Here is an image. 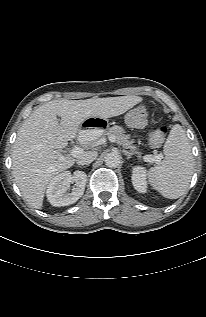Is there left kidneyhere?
<instances>
[{"mask_svg": "<svg viewBox=\"0 0 206 317\" xmlns=\"http://www.w3.org/2000/svg\"><path fill=\"white\" fill-rule=\"evenodd\" d=\"M132 184L139 193H146V171L141 166H135L132 170Z\"/></svg>", "mask_w": 206, "mask_h": 317, "instance_id": "1", "label": "left kidney"}]
</instances>
